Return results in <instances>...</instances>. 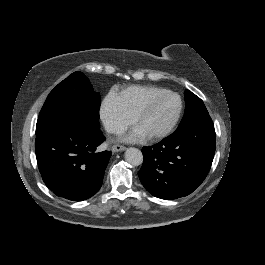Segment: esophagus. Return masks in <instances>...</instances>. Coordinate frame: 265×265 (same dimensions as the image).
Listing matches in <instances>:
<instances>
[{
    "mask_svg": "<svg viewBox=\"0 0 265 265\" xmlns=\"http://www.w3.org/2000/svg\"><path fill=\"white\" fill-rule=\"evenodd\" d=\"M112 150L114 152L124 151L126 150V147H124L123 145L116 144V145H113Z\"/></svg>",
    "mask_w": 265,
    "mask_h": 265,
    "instance_id": "obj_1",
    "label": "esophagus"
}]
</instances>
